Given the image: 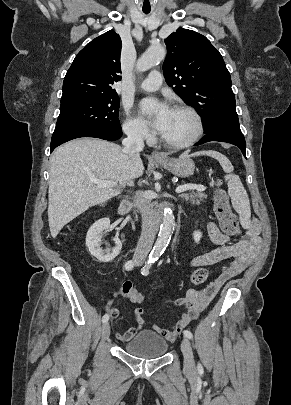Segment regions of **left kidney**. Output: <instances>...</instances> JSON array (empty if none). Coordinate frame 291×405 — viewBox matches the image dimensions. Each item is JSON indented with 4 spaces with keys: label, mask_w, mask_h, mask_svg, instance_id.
<instances>
[{
    "label": "left kidney",
    "mask_w": 291,
    "mask_h": 405,
    "mask_svg": "<svg viewBox=\"0 0 291 405\" xmlns=\"http://www.w3.org/2000/svg\"><path fill=\"white\" fill-rule=\"evenodd\" d=\"M202 238V233L200 231H194L193 232V239L196 243L200 242V239Z\"/></svg>",
    "instance_id": "1"
}]
</instances>
